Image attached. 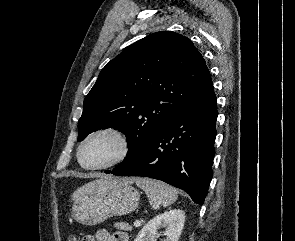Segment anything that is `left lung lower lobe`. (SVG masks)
Segmentation results:
<instances>
[{
    "mask_svg": "<svg viewBox=\"0 0 295 241\" xmlns=\"http://www.w3.org/2000/svg\"><path fill=\"white\" fill-rule=\"evenodd\" d=\"M217 115L212 90L168 120L133 159L105 173L158 179L202 204L213 176Z\"/></svg>",
    "mask_w": 295,
    "mask_h": 241,
    "instance_id": "0a47b994",
    "label": "left lung lower lobe"
}]
</instances>
